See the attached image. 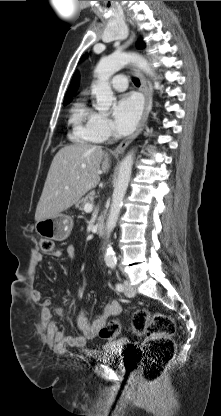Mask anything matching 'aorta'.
I'll return each mask as SVG.
<instances>
[{
	"label": "aorta",
	"instance_id": "1",
	"mask_svg": "<svg viewBox=\"0 0 221 416\" xmlns=\"http://www.w3.org/2000/svg\"><path fill=\"white\" fill-rule=\"evenodd\" d=\"M128 63H135L137 67L149 75L154 77V72L146 58L136 53L116 52L107 57L102 58L95 68L97 82L92 86V93L96 97L95 108L100 112H106L110 109L114 100L113 92L109 84L110 77L119 71ZM134 161V152H129L121 161L118 177L114 186L112 195V203L109 216L106 221L105 236L106 242L110 238L111 232L114 230L118 221L120 211L123 205V199L128 188L132 166ZM104 261L107 266H115L116 256L112 247L108 244L105 248Z\"/></svg>",
	"mask_w": 221,
	"mask_h": 416
}]
</instances>
